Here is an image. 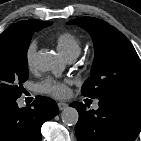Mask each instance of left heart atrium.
Returning <instances> with one entry per match:
<instances>
[{
    "label": "left heart atrium",
    "instance_id": "left-heart-atrium-1",
    "mask_svg": "<svg viewBox=\"0 0 141 141\" xmlns=\"http://www.w3.org/2000/svg\"><path fill=\"white\" fill-rule=\"evenodd\" d=\"M37 89L41 93L63 98L68 95V82L47 78L37 85Z\"/></svg>",
    "mask_w": 141,
    "mask_h": 141
}]
</instances>
